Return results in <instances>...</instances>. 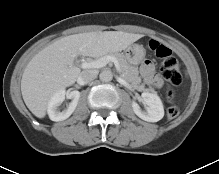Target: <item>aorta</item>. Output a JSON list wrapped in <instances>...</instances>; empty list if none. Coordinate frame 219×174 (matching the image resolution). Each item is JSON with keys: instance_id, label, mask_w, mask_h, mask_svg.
I'll return each instance as SVG.
<instances>
[{"instance_id": "762f6f07", "label": "aorta", "mask_w": 219, "mask_h": 174, "mask_svg": "<svg viewBox=\"0 0 219 174\" xmlns=\"http://www.w3.org/2000/svg\"><path fill=\"white\" fill-rule=\"evenodd\" d=\"M99 78L102 82H110L113 79V73L110 70H103Z\"/></svg>"}]
</instances>
